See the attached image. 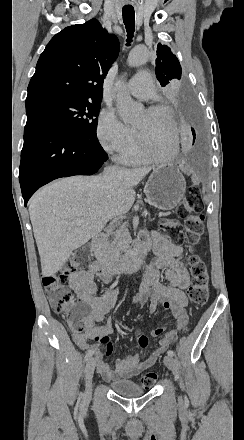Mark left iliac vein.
Returning <instances> with one entry per match:
<instances>
[{
  "instance_id": "left-iliac-vein-1",
  "label": "left iliac vein",
  "mask_w": 244,
  "mask_h": 440,
  "mask_svg": "<svg viewBox=\"0 0 244 440\" xmlns=\"http://www.w3.org/2000/svg\"><path fill=\"white\" fill-rule=\"evenodd\" d=\"M164 363L166 365V367L170 370H173L175 368V360L172 356H165L164 357Z\"/></svg>"
}]
</instances>
